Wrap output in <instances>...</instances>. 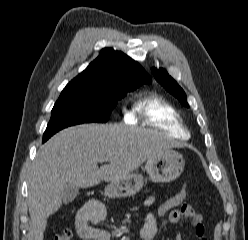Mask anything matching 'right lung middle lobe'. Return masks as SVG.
<instances>
[{"label":"right lung middle lobe","mask_w":248,"mask_h":240,"mask_svg":"<svg viewBox=\"0 0 248 240\" xmlns=\"http://www.w3.org/2000/svg\"><path fill=\"white\" fill-rule=\"evenodd\" d=\"M144 83L132 80L106 89L63 90L51 111L43 142L68 126L107 122L117 101Z\"/></svg>","instance_id":"1"}]
</instances>
